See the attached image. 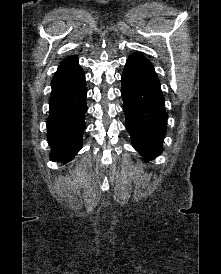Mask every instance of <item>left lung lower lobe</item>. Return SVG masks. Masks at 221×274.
I'll return each instance as SVG.
<instances>
[{"label": "left lung lower lobe", "mask_w": 221, "mask_h": 274, "mask_svg": "<svg viewBox=\"0 0 221 274\" xmlns=\"http://www.w3.org/2000/svg\"><path fill=\"white\" fill-rule=\"evenodd\" d=\"M123 111L133 147L150 160L162 151L167 114L159 79L152 63L140 54L126 61L121 77Z\"/></svg>", "instance_id": "1"}]
</instances>
